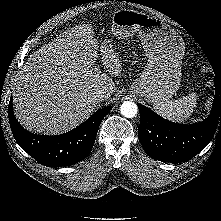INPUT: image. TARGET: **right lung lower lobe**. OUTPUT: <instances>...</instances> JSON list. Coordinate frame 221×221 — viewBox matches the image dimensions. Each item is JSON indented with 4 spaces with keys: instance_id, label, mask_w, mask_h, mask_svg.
<instances>
[{
    "instance_id": "right-lung-lower-lobe-1",
    "label": "right lung lower lobe",
    "mask_w": 221,
    "mask_h": 221,
    "mask_svg": "<svg viewBox=\"0 0 221 221\" xmlns=\"http://www.w3.org/2000/svg\"><path fill=\"white\" fill-rule=\"evenodd\" d=\"M110 110V106L100 109L75 129L54 136L37 135L25 130L14 115L12 97L8 116L13 136L25 152L42 165L61 167L78 163L89 155L98 128Z\"/></svg>"
}]
</instances>
